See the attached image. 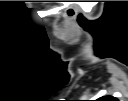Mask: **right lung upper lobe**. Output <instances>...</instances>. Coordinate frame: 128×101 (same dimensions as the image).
<instances>
[{"label": "right lung upper lobe", "instance_id": "cb5924a9", "mask_svg": "<svg viewBox=\"0 0 128 101\" xmlns=\"http://www.w3.org/2000/svg\"><path fill=\"white\" fill-rule=\"evenodd\" d=\"M99 100H101V101H115L116 98H114L112 96H104V97L99 98Z\"/></svg>", "mask_w": 128, "mask_h": 101}]
</instances>
